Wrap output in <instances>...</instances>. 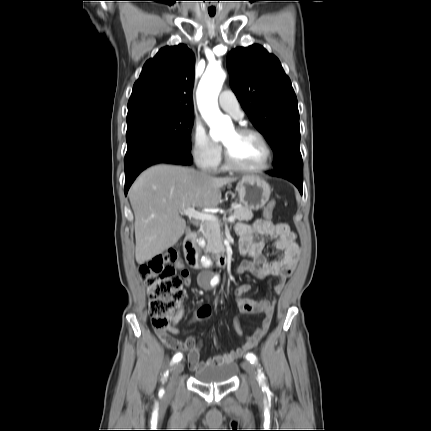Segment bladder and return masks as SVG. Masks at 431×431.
I'll use <instances>...</instances> for the list:
<instances>
[{
	"mask_svg": "<svg viewBox=\"0 0 431 431\" xmlns=\"http://www.w3.org/2000/svg\"><path fill=\"white\" fill-rule=\"evenodd\" d=\"M238 372V364L230 362L198 370L194 373V378L200 383L209 385L226 384L232 381Z\"/></svg>",
	"mask_w": 431,
	"mask_h": 431,
	"instance_id": "31cf9c89",
	"label": "bladder"
}]
</instances>
